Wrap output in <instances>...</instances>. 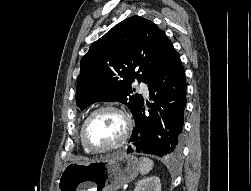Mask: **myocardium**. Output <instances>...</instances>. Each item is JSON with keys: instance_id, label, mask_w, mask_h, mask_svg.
I'll return each mask as SVG.
<instances>
[{"instance_id": "obj_1", "label": "myocardium", "mask_w": 251, "mask_h": 191, "mask_svg": "<svg viewBox=\"0 0 251 191\" xmlns=\"http://www.w3.org/2000/svg\"><path fill=\"white\" fill-rule=\"evenodd\" d=\"M102 111H112V112L116 113L123 123V131H122V135H121L120 140L118 142H116L115 144H113L110 147L103 149V150H94V149L90 148L86 143L85 130H86V126H87L88 122L90 121V119L95 114L102 112ZM130 130H131V121L122 110H120L119 108H117L113 105H110V104L99 106V107L95 108L94 110H92L84 118V121H83V123L80 127V131H79L80 147L83 150V152H85L86 154H89V155H102V154L109 153L111 151L118 149L126 142V140L128 139Z\"/></svg>"}]
</instances>
